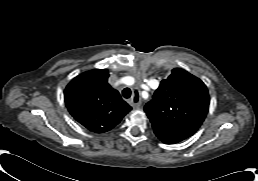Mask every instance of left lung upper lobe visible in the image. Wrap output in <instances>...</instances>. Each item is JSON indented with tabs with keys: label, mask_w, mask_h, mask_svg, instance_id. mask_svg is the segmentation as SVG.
Instances as JSON below:
<instances>
[{
	"label": "left lung upper lobe",
	"mask_w": 258,
	"mask_h": 181,
	"mask_svg": "<svg viewBox=\"0 0 258 181\" xmlns=\"http://www.w3.org/2000/svg\"><path fill=\"white\" fill-rule=\"evenodd\" d=\"M208 108L209 94L205 84L187 71L175 68L161 81L144 111L154 132L186 139L198 130Z\"/></svg>",
	"instance_id": "1"
}]
</instances>
